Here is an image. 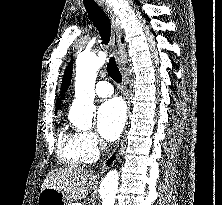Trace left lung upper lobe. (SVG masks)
Here are the masks:
<instances>
[{
    "label": "left lung upper lobe",
    "mask_w": 222,
    "mask_h": 205,
    "mask_svg": "<svg viewBox=\"0 0 222 205\" xmlns=\"http://www.w3.org/2000/svg\"><path fill=\"white\" fill-rule=\"evenodd\" d=\"M71 73H72V64H70L67 69H66V73H65V77H64V82H63V87L62 89H67L69 83H70V79H71ZM61 105L60 102H57L56 104V108H59ZM57 112V111H56Z\"/></svg>",
    "instance_id": "5c2ea615"
}]
</instances>
